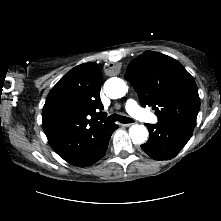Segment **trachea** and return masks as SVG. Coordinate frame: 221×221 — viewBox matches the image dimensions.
<instances>
[{
	"instance_id": "trachea-1",
	"label": "trachea",
	"mask_w": 221,
	"mask_h": 221,
	"mask_svg": "<svg viewBox=\"0 0 221 221\" xmlns=\"http://www.w3.org/2000/svg\"><path fill=\"white\" fill-rule=\"evenodd\" d=\"M106 120H108V121H119V122L124 123V124L134 122L131 118L122 117V116H119L117 114L110 115L109 117L106 118Z\"/></svg>"
}]
</instances>
